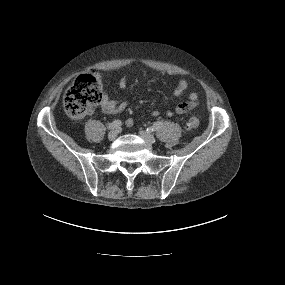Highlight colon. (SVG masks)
<instances>
[{"label": "colon", "mask_w": 285, "mask_h": 285, "mask_svg": "<svg viewBox=\"0 0 285 285\" xmlns=\"http://www.w3.org/2000/svg\"><path fill=\"white\" fill-rule=\"evenodd\" d=\"M102 80L98 71L88 70L80 75L68 90L64 108L69 117L80 120L90 113L102 100ZM199 126V119L192 115L186 122V130L193 131Z\"/></svg>", "instance_id": "1"}]
</instances>
